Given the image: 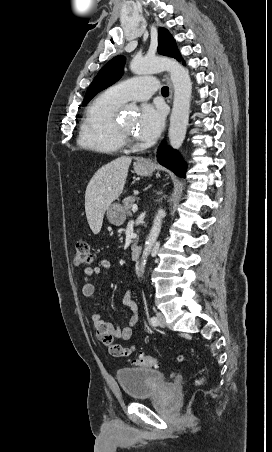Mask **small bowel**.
Here are the masks:
<instances>
[{
	"instance_id": "c3829d8e",
	"label": "small bowel",
	"mask_w": 272,
	"mask_h": 452,
	"mask_svg": "<svg viewBox=\"0 0 272 452\" xmlns=\"http://www.w3.org/2000/svg\"><path fill=\"white\" fill-rule=\"evenodd\" d=\"M110 268L111 262L107 259H101L94 266L84 269L83 276L85 282L82 285L81 292L85 298H92L95 294V286L90 281L91 278L99 275L103 271L109 270ZM122 302L130 310L128 324L122 328L115 326L110 321L103 319L97 312H93L91 314V321L94 325L97 338L109 348L110 353L114 356H122L113 351V347L122 346L120 344H116L114 341L120 340L125 342L130 340L133 334V328L139 320L138 307L133 300L131 289L128 288L125 290L122 297Z\"/></svg>"
}]
</instances>
